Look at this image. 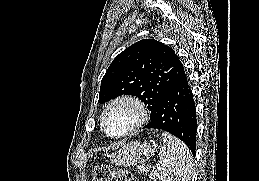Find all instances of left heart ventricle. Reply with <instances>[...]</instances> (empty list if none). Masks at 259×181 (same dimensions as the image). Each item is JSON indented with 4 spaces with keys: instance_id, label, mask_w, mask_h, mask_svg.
Wrapping results in <instances>:
<instances>
[{
    "instance_id": "left-heart-ventricle-1",
    "label": "left heart ventricle",
    "mask_w": 259,
    "mask_h": 181,
    "mask_svg": "<svg viewBox=\"0 0 259 181\" xmlns=\"http://www.w3.org/2000/svg\"><path fill=\"white\" fill-rule=\"evenodd\" d=\"M136 118L135 110L126 104L118 105L110 110L106 118L107 130L112 134H120L130 128Z\"/></svg>"
}]
</instances>
